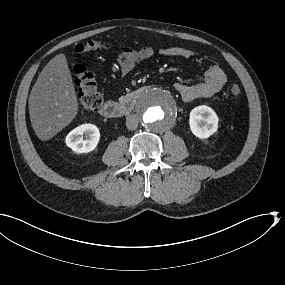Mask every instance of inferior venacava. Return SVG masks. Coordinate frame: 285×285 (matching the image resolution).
Returning <instances> with one entry per match:
<instances>
[{"label": "inferior vena cava", "instance_id": "602c4592", "mask_svg": "<svg viewBox=\"0 0 285 285\" xmlns=\"http://www.w3.org/2000/svg\"><path fill=\"white\" fill-rule=\"evenodd\" d=\"M139 124V119L136 114L128 115L126 118V126L129 130H135L137 129Z\"/></svg>", "mask_w": 285, "mask_h": 285}]
</instances>
